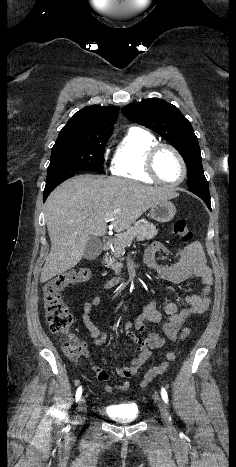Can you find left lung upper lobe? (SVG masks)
<instances>
[{
  "instance_id": "left-lung-upper-lobe-1",
  "label": "left lung upper lobe",
  "mask_w": 236,
  "mask_h": 467,
  "mask_svg": "<svg viewBox=\"0 0 236 467\" xmlns=\"http://www.w3.org/2000/svg\"><path fill=\"white\" fill-rule=\"evenodd\" d=\"M132 122L144 125L161 135L183 157L188 170V188L208 186L204 176L201 153L191 123L174 105L151 98L122 108Z\"/></svg>"
}]
</instances>
